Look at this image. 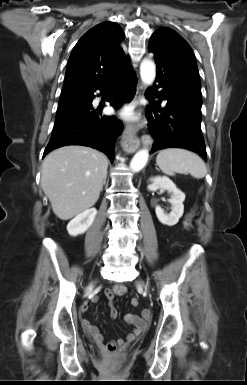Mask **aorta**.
<instances>
[{
  "label": "aorta",
  "mask_w": 247,
  "mask_h": 385,
  "mask_svg": "<svg viewBox=\"0 0 247 385\" xmlns=\"http://www.w3.org/2000/svg\"><path fill=\"white\" fill-rule=\"evenodd\" d=\"M140 76L144 85L150 86L153 84L156 77L155 63L149 59L144 58L140 65ZM149 152L147 149L139 150L130 163V168L134 172L140 171L147 163Z\"/></svg>",
  "instance_id": "aorta-1"
}]
</instances>
